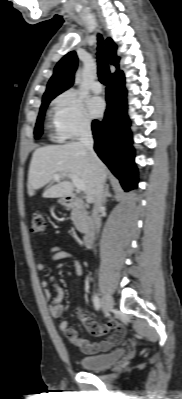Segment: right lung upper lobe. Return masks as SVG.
<instances>
[{"mask_svg":"<svg viewBox=\"0 0 182 399\" xmlns=\"http://www.w3.org/2000/svg\"><path fill=\"white\" fill-rule=\"evenodd\" d=\"M117 46L111 38L106 40V53L110 64L119 67V58L116 55ZM78 58L75 51L66 54L55 66L53 76L50 78L43 100L54 98L63 91L70 88L74 80V72L76 71ZM123 72L117 70L111 77L122 75Z\"/></svg>","mask_w":182,"mask_h":399,"instance_id":"1","label":"right lung upper lobe"}]
</instances>
